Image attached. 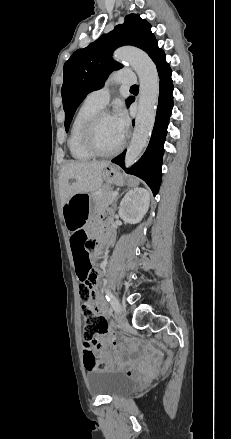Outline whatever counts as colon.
<instances>
[{
	"label": "colon",
	"instance_id": "obj_1",
	"mask_svg": "<svg viewBox=\"0 0 231 439\" xmlns=\"http://www.w3.org/2000/svg\"><path fill=\"white\" fill-rule=\"evenodd\" d=\"M86 238L87 237L85 235H76L75 242L78 245ZM77 275L80 280L79 295L82 300V311L85 316L84 338L87 342H95L97 340L96 336L106 334L109 330V327L106 319L102 316L95 315L93 311L98 296L96 291L94 290L95 277L91 273L90 263H79L77 268ZM146 342L150 346L163 351V369L167 371L172 364L173 353L167 348L164 343L157 341L152 337H146ZM84 366L88 370H96L105 368L106 363L104 361L98 360L93 352L88 351L84 354Z\"/></svg>",
	"mask_w": 231,
	"mask_h": 439
}]
</instances>
